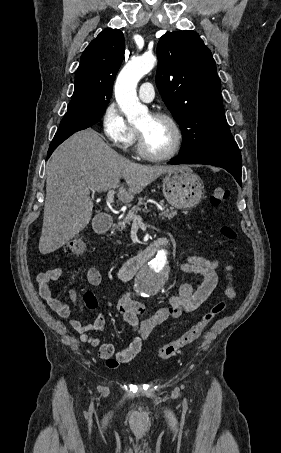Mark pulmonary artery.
<instances>
[{"mask_svg":"<svg viewBox=\"0 0 281 453\" xmlns=\"http://www.w3.org/2000/svg\"><path fill=\"white\" fill-rule=\"evenodd\" d=\"M151 87H152V84L150 82H145V83L141 84V86L139 88L138 97L146 103H150L154 99L153 93L144 92L146 89L151 88Z\"/></svg>","mask_w":281,"mask_h":453,"instance_id":"1","label":"pulmonary artery"}]
</instances>
